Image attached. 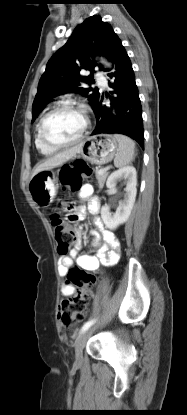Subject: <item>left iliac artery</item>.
Wrapping results in <instances>:
<instances>
[{
    "mask_svg": "<svg viewBox=\"0 0 187 415\" xmlns=\"http://www.w3.org/2000/svg\"><path fill=\"white\" fill-rule=\"evenodd\" d=\"M96 319H91L87 321L81 328L80 334L83 333L85 330H87L90 326H92L95 323Z\"/></svg>",
    "mask_w": 187,
    "mask_h": 415,
    "instance_id": "1",
    "label": "left iliac artery"
}]
</instances>
